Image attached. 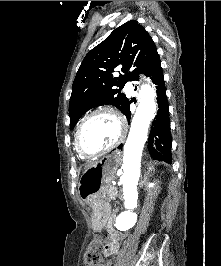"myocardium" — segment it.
<instances>
[{
    "label": "myocardium",
    "mask_w": 221,
    "mask_h": 266,
    "mask_svg": "<svg viewBox=\"0 0 221 266\" xmlns=\"http://www.w3.org/2000/svg\"><path fill=\"white\" fill-rule=\"evenodd\" d=\"M103 113L110 114L117 120V122L119 124V135L116 138V140L112 144H110L109 146H107L101 150L94 151V152L88 151L83 146V143H82V136H83L84 129H85L86 125L88 124V122L93 117H95L98 114H103ZM126 134H127V124H126L124 118L120 115V113H118L116 110H114L112 108H99V109L92 111L82 121V123L80 124V126L77 130V133H76L75 144H76V148H77L78 152L82 156H84L85 158L86 157L87 158H93V157L100 156V155L114 149L115 147H117L124 140Z\"/></svg>",
    "instance_id": "obj_1"
}]
</instances>
